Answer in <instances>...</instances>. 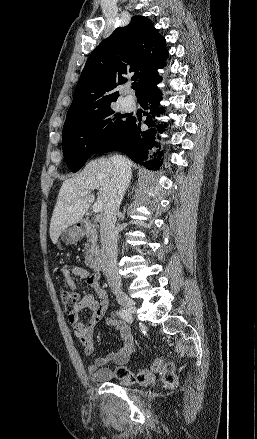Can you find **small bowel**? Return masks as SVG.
<instances>
[{"mask_svg": "<svg viewBox=\"0 0 257 439\" xmlns=\"http://www.w3.org/2000/svg\"><path fill=\"white\" fill-rule=\"evenodd\" d=\"M61 274L72 291L76 290L73 276L85 279L87 285L93 291L92 293H85L74 309L68 312V321L82 345L84 354L91 356L94 352L93 333L95 326L103 318L108 307L107 293L100 286L99 276L90 274L83 268L63 266ZM84 309L91 310V316L87 324H84L80 319V312ZM106 324L119 331L121 344L111 350L105 357H95L86 366L87 373L95 382H106L114 378L116 370L124 367L134 352V340L129 327L123 321L115 318H108ZM110 362L117 365L116 370L106 367Z\"/></svg>", "mask_w": 257, "mask_h": 439, "instance_id": "small-bowel-1", "label": "small bowel"}]
</instances>
